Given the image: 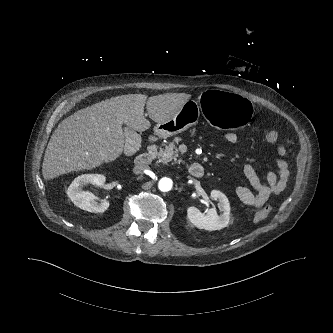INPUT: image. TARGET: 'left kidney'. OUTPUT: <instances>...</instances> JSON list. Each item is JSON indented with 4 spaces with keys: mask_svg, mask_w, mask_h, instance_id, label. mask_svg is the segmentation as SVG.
<instances>
[{
    "mask_svg": "<svg viewBox=\"0 0 333 333\" xmlns=\"http://www.w3.org/2000/svg\"><path fill=\"white\" fill-rule=\"evenodd\" d=\"M211 198L219 201L218 206L222 211L221 215L217 214L215 208L209 209L206 214L201 213L196 207H189L187 209L188 219L199 229L208 231L220 230L228 226L230 222V204L225 194L218 190H212Z\"/></svg>",
    "mask_w": 333,
    "mask_h": 333,
    "instance_id": "obj_1",
    "label": "left kidney"
}]
</instances>
